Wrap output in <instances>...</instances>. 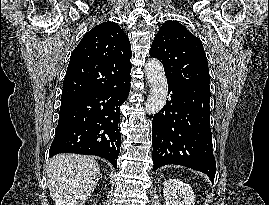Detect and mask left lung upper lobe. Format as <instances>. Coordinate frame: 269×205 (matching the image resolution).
I'll use <instances>...</instances> for the list:
<instances>
[{
	"mask_svg": "<svg viewBox=\"0 0 269 205\" xmlns=\"http://www.w3.org/2000/svg\"><path fill=\"white\" fill-rule=\"evenodd\" d=\"M149 54L161 61L168 82L209 86V68L202 42L182 24L165 22Z\"/></svg>",
	"mask_w": 269,
	"mask_h": 205,
	"instance_id": "5c2ea615",
	"label": "left lung upper lobe"
}]
</instances>
